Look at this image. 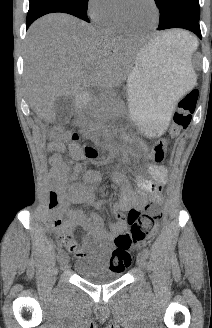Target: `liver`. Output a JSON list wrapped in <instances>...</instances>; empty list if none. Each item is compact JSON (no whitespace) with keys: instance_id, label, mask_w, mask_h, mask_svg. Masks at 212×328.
<instances>
[{"instance_id":"liver-1","label":"liver","mask_w":212,"mask_h":328,"mask_svg":"<svg viewBox=\"0 0 212 328\" xmlns=\"http://www.w3.org/2000/svg\"><path fill=\"white\" fill-rule=\"evenodd\" d=\"M176 31L155 40H170ZM138 48L133 39L106 35L63 13L46 15L29 28L25 80L32 111L55 120L54 101L76 97L90 86L109 90L128 79Z\"/></svg>"}]
</instances>
